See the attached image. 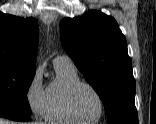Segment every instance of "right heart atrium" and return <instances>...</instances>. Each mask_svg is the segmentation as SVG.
I'll use <instances>...</instances> for the list:
<instances>
[{
  "label": "right heart atrium",
  "mask_w": 156,
  "mask_h": 124,
  "mask_svg": "<svg viewBox=\"0 0 156 124\" xmlns=\"http://www.w3.org/2000/svg\"><path fill=\"white\" fill-rule=\"evenodd\" d=\"M25 99L35 117L45 116L46 89L43 86L42 72L40 69H37L32 75L25 90Z\"/></svg>",
  "instance_id": "obj_1"
}]
</instances>
